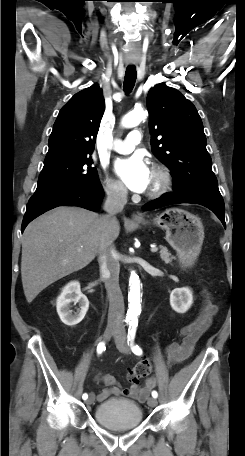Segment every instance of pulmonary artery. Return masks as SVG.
<instances>
[{
	"label": "pulmonary artery",
	"instance_id": "1",
	"mask_svg": "<svg viewBox=\"0 0 245 456\" xmlns=\"http://www.w3.org/2000/svg\"><path fill=\"white\" fill-rule=\"evenodd\" d=\"M141 141V133L138 130L131 131L126 139H117L112 144V149L119 153H130Z\"/></svg>",
	"mask_w": 245,
	"mask_h": 456
}]
</instances>
